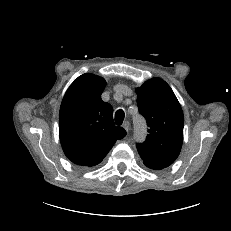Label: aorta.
Here are the masks:
<instances>
[{"mask_svg": "<svg viewBox=\"0 0 231 231\" xmlns=\"http://www.w3.org/2000/svg\"><path fill=\"white\" fill-rule=\"evenodd\" d=\"M135 135L139 140H144L146 135V124L142 117H134Z\"/></svg>", "mask_w": 231, "mask_h": 231, "instance_id": "762f6f07", "label": "aorta"}]
</instances>
